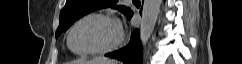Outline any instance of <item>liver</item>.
I'll return each instance as SVG.
<instances>
[{
  "label": "liver",
  "mask_w": 242,
  "mask_h": 64,
  "mask_svg": "<svg viewBox=\"0 0 242 64\" xmlns=\"http://www.w3.org/2000/svg\"><path fill=\"white\" fill-rule=\"evenodd\" d=\"M90 63H104V64H117V62H115L114 60H109L107 58L104 57H97L91 61H89Z\"/></svg>",
  "instance_id": "1"
}]
</instances>
